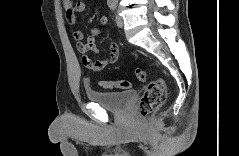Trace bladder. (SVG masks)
<instances>
[{"label":"bladder","mask_w":239,"mask_h":156,"mask_svg":"<svg viewBox=\"0 0 239 156\" xmlns=\"http://www.w3.org/2000/svg\"><path fill=\"white\" fill-rule=\"evenodd\" d=\"M134 96V91L105 92L90 88L86 90V97L89 101L113 112L124 111L130 105Z\"/></svg>","instance_id":"31cf9c89"}]
</instances>
